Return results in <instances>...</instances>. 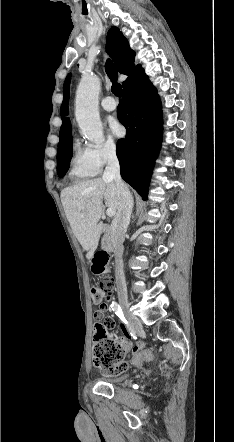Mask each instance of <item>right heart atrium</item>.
I'll use <instances>...</instances> for the list:
<instances>
[{
	"label": "right heart atrium",
	"mask_w": 234,
	"mask_h": 442,
	"mask_svg": "<svg viewBox=\"0 0 234 442\" xmlns=\"http://www.w3.org/2000/svg\"><path fill=\"white\" fill-rule=\"evenodd\" d=\"M91 156L98 170L117 157L118 147L114 140L107 139L105 142L90 148Z\"/></svg>",
	"instance_id": "d8ad5b80"
}]
</instances>
